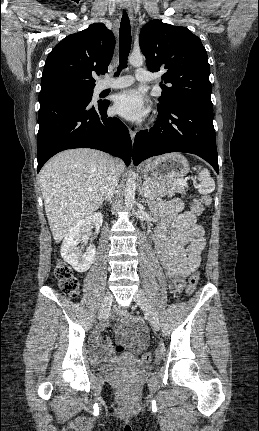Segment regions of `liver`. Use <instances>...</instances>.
I'll use <instances>...</instances> for the list:
<instances>
[{"instance_id": "1", "label": "liver", "mask_w": 259, "mask_h": 431, "mask_svg": "<svg viewBox=\"0 0 259 431\" xmlns=\"http://www.w3.org/2000/svg\"><path fill=\"white\" fill-rule=\"evenodd\" d=\"M110 159L94 149H71L57 154L41 169L39 183L56 243L101 206ZM115 166L119 173L124 171L122 161L117 160Z\"/></svg>"}]
</instances>
